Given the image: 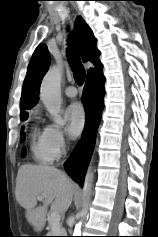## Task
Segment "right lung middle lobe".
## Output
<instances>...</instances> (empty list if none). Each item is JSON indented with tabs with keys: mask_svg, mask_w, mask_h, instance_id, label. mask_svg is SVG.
I'll use <instances>...</instances> for the list:
<instances>
[{
	"mask_svg": "<svg viewBox=\"0 0 158 237\" xmlns=\"http://www.w3.org/2000/svg\"><path fill=\"white\" fill-rule=\"evenodd\" d=\"M27 118H28V116H24V117H21V120H22V121H25ZM22 140H24V134H23V133H22ZM25 153H26V150L23 149L22 157L25 156Z\"/></svg>",
	"mask_w": 158,
	"mask_h": 237,
	"instance_id": "right-lung-middle-lobe-1",
	"label": "right lung middle lobe"
}]
</instances>
